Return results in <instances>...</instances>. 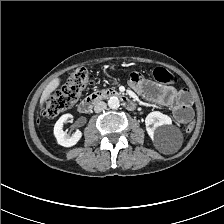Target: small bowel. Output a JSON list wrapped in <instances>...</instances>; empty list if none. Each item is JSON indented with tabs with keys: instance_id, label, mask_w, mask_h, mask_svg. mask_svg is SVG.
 <instances>
[{
	"instance_id": "1",
	"label": "small bowel",
	"mask_w": 224,
	"mask_h": 224,
	"mask_svg": "<svg viewBox=\"0 0 224 224\" xmlns=\"http://www.w3.org/2000/svg\"><path fill=\"white\" fill-rule=\"evenodd\" d=\"M130 86L137 94L152 103L173 107L174 116L178 123L184 124L190 119L193 95L188 90H178L156 84L138 73H131Z\"/></svg>"
}]
</instances>
